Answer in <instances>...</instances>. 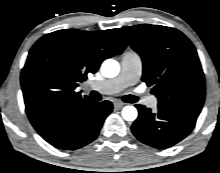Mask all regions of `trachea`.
Here are the masks:
<instances>
[{
	"label": "trachea",
	"instance_id": "obj_1",
	"mask_svg": "<svg viewBox=\"0 0 220 173\" xmlns=\"http://www.w3.org/2000/svg\"><path fill=\"white\" fill-rule=\"evenodd\" d=\"M94 95H95V92H93V93L91 94V96H94ZM123 100H124L125 102H128V103H135V102L138 101V97H137V96H133V95H127V96H125V97L123 98Z\"/></svg>",
	"mask_w": 220,
	"mask_h": 173
}]
</instances>
